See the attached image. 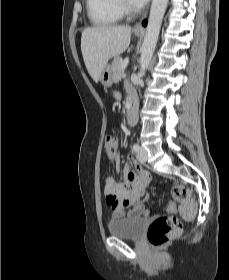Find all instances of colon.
I'll return each mask as SVG.
<instances>
[{"label":"colon","mask_w":229,"mask_h":280,"mask_svg":"<svg viewBox=\"0 0 229 280\" xmlns=\"http://www.w3.org/2000/svg\"><path fill=\"white\" fill-rule=\"evenodd\" d=\"M116 148V140L112 136H107L104 142V152L111 157ZM147 177L137 176L135 182L147 180ZM172 196L178 202V211L184 220H192L198 213L199 206L195 198L192 197L189 188L183 184L172 187ZM182 232V222L175 216H162L155 219L148 229V240L155 248L164 246L170 239L178 236Z\"/></svg>","instance_id":"5ec220e1"}]
</instances>
